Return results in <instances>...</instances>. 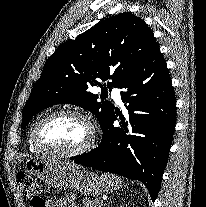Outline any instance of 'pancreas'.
Instances as JSON below:
<instances>
[{
    "label": "pancreas",
    "instance_id": "obj_1",
    "mask_svg": "<svg viewBox=\"0 0 206 207\" xmlns=\"http://www.w3.org/2000/svg\"><path fill=\"white\" fill-rule=\"evenodd\" d=\"M98 201V200H97ZM97 201H89V202H84L83 207H97L98 202ZM100 201V200H99ZM100 207V206H99Z\"/></svg>",
    "mask_w": 206,
    "mask_h": 207
}]
</instances>
